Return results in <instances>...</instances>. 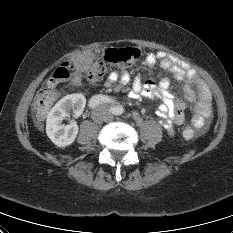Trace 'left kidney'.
Masks as SVG:
<instances>
[{"instance_id":"left-kidney-1","label":"left kidney","mask_w":233,"mask_h":233,"mask_svg":"<svg viewBox=\"0 0 233 233\" xmlns=\"http://www.w3.org/2000/svg\"><path fill=\"white\" fill-rule=\"evenodd\" d=\"M168 133H169L170 136H173L174 135V130H169Z\"/></svg>"}]
</instances>
